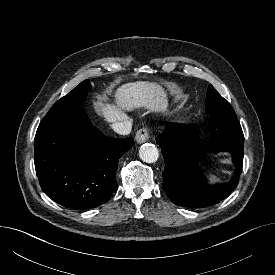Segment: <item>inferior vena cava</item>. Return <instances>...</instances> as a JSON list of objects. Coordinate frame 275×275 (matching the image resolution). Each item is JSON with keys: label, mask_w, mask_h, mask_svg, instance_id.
Segmentation results:
<instances>
[{"label": "inferior vena cava", "mask_w": 275, "mask_h": 275, "mask_svg": "<svg viewBox=\"0 0 275 275\" xmlns=\"http://www.w3.org/2000/svg\"><path fill=\"white\" fill-rule=\"evenodd\" d=\"M132 120L129 117H125L122 121H118L112 124V129L120 135H128L131 132Z\"/></svg>", "instance_id": "obj_1"}]
</instances>
